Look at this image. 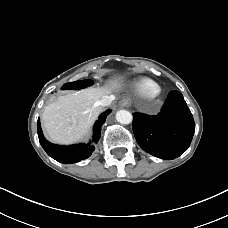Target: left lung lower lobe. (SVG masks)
Here are the masks:
<instances>
[{"label": "left lung lower lobe", "instance_id": "obj_1", "mask_svg": "<svg viewBox=\"0 0 228 228\" xmlns=\"http://www.w3.org/2000/svg\"><path fill=\"white\" fill-rule=\"evenodd\" d=\"M133 131L139 146L149 154L171 160L189 147L195 131L190 109L178 91L168 94L158 115L133 113Z\"/></svg>", "mask_w": 228, "mask_h": 228}]
</instances>
